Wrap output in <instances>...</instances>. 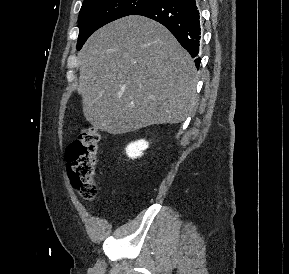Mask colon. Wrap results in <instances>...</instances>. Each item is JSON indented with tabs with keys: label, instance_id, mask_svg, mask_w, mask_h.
I'll list each match as a JSON object with an SVG mask.
<instances>
[{
	"label": "colon",
	"instance_id": "obj_1",
	"mask_svg": "<svg viewBox=\"0 0 289 274\" xmlns=\"http://www.w3.org/2000/svg\"><path fill=\"white\" fill-rule=\"evenodd\" d=\"M100 135L96 128H83L66 149L67 168L74 188L90 201L97 193L95 172Z\"/></svg>",
	"mask_w": 289,
	"mask_h": 274
}]
</instances>
